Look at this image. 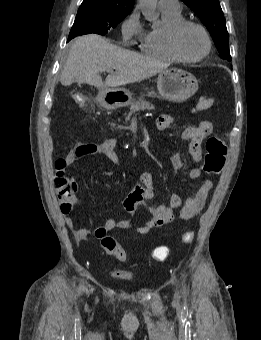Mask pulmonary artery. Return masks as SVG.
I'll use <instances>...</instances> for the list:
<instances>
[{
  "instance_id": "obj_1",
  "label": "pulmonary artery",
  "mask_w": 261,
  "mask_h": 340,
  "mask_svg": "<svg viewBox=\"0 0 261 340\" xmlns=\"http://www.w3.org/2000/svg\"><path fill=\"white\" fill-rule=\"evenodd\" d=\"M158 5L161 10L171 12H181L182 10L179 0H159Z\"/></svg>"
}]
</instances>
